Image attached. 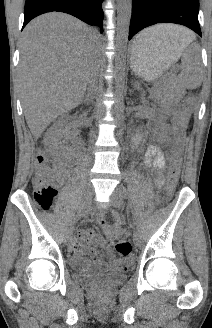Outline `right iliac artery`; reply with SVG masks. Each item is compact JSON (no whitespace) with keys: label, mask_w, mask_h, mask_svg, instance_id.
<instances>
[{"label":"right iliac artery","mask_w":212,"mask_h":328,"mask_svg":"<svg viewBox=\"0 0 212 328\" xmlns=\"http://www.w3.org/2000/svg\"><path fill=\"white\" fill-rule=\"evenodd\" d=\"M83 210L79 209L78 212L76 213V215L74 216L73 220H72V224H75L83 215Z\"/></svg>","instance_id":"right-iliac-artery-1"}]
</instances>
